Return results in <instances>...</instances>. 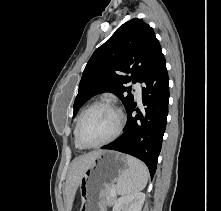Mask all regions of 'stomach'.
<instances>
[{"mask_svg": "<svg viewBox=\"0 0 221 211\" xmlns=\"http://www.w3.org/2000/svg\"><path fill=\"white\" fill-rule=\"evenodd\" d=\"M126 157L116 151H101L85 169L80 180L81 206L79 211H100L105 191L128 170Z\"/></svg>", "mask_w": 221, "mask_h": 211, "instance_id": "stomach-1", "label": "stomach"}]
</instances>
